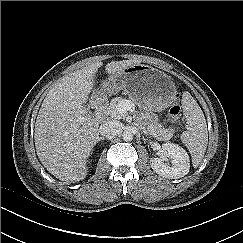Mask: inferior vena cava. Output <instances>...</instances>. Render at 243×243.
Segmentation results:
<instances>
[{
    "label": "inferior vena cava",
    "mask_w": 243,
    "mask_h": 243,
    "mask_svg": "<svg viewBox=\"0 0 243 243\" xmlns=\"http://www.w3.org/2000/svg\"><path fill=\"white\" fill-rule=\"evenodd\" d=\"M122 123L117 120H111L103 123L100 128L99 132L101 136L110 138L117 136L122 132Z\"/></svg>",
    "instance_id": "inferior-vena-cava-1"
}]
</instances>
